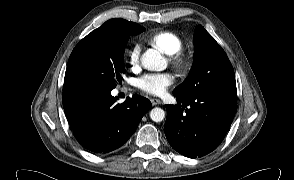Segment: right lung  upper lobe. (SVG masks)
Returning <instances> with one entry per match:
<instances>
[{
	"mask_svg": "<svg viewBox=\"0 0 294 180\" xmlns=\"http://www.w3.org/2000/svg\"><path fill=\"white\" fill-rule=\"evenodd\" d=\"M144 30H145L144 27L134 22H129L124 19H110L106 21L98 29L92 31V33L115 31V32H126V33H131L132 35H137L143 32Z\"/></svg>",
	"mask_w": 294,
	"mask_h": 180,
	"instance_id": "right-lung-upper-lobe-1",
	"label": "right lung upper lobe"
}]
</instances>
